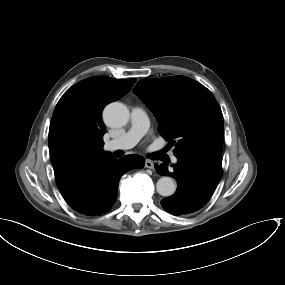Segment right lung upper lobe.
Instances as JSON below:
<instances>
[{
  "instance_id": "cb5924a9",
  "label": "right lung upper lobe",
  "mask_w": 285,
  "mask_h": 285,
  "mask_svg": "<svg viewBox=\"0 0 285 285\" xmlns=\"http://www.w3.org/2000/svg\"><path fill=\"white\" fill-rule=\"evenodd\" d=\"M135 82V78L118 80L92 77L73 85L61 97L55 107L48 136L49 153L59 190L94 162L110 156L102 149L105 129L102 110L108 103L126 95ZM63 124L102 141L86 151H74L59 136Z\"/></svg>"
}]
</instances>
